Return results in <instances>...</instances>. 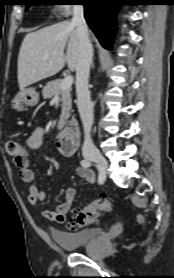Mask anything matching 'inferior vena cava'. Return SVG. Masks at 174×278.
<instances>
[{"instance_id": "602c4592", "label": "inferior vena cava", "mask_w": 174, "mask_h": 278, "mask_svg": "<svg viewBox=\"0 0 174 278\" xmlns=\"http://www.w3.org/2000/svg\"><path fill=\"white\" fill-rule=\"evenodd\" d=\"M71 24L76 26L79 38V57L76 66L77 106L84 128L83 153L97 152L91 139L93 125V105L88 90V78L92 64L93 49L89 40L88 28L84 18L83 5H74Z\"/></svg>"}]
</instances>
